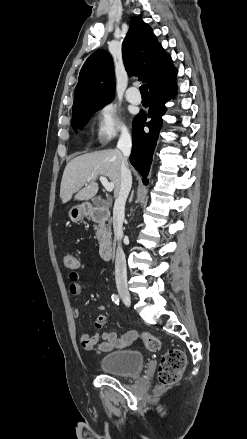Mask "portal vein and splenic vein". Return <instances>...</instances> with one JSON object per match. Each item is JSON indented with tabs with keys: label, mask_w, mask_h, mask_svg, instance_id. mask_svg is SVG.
Returning <instances> with one entry per match:
<instances>
[{
	"label": "portal vein and splenic vein",
	"mask_w": 247,
	"mask_h": 439,
	"mask_svg": "<svg viewBox=\"0 0 247 439\" xmlns=\"http://www.w3.org/2000/svg\"><path fill=\"white\" fill-rule=\"evenodd\" d=\"M99 179H100V182L102 183V185L105 187V189L108 192H111L114 189V183L109 182L106 177L100 176Z\"/></svg>",
	"instance_id": "obj_1"
}]
</instances>
